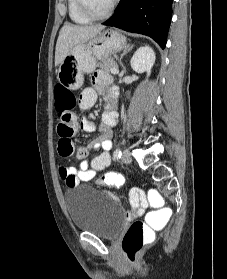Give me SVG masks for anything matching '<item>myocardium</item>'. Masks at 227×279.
<instances>
[{
  "label": "myocardium",
  "mask_w": 227,
  "mask_h": 279,
  "mask_svg": "<svg viewBox=\"0 0 227 279\" xmlns=\"http://www.w3.org/2000/svg\"><path fill=\"white\" fill-rule=\"evenodd\" d=\"M76 1H77V5H78V8L81 11V13L90 20H102V19L108 18L112 14L115 4L117 2V0H112L108 10L105 13L95 14L90 9L86 0H76Z\"/></svg>",
  "instance_id": "f54148a6"
}]
</instances>
